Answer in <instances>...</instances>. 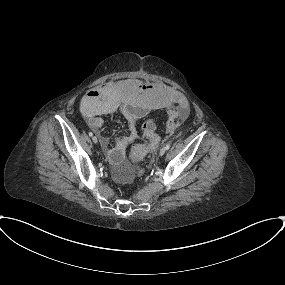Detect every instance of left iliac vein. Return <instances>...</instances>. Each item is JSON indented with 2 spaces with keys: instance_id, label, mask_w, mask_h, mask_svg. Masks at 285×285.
<instances>
[{
  "instance_id": "obj_1",
  "label": "left iliac vein",
  "mask_w": 285,
  "mask_h": 285,
  "mask_svg": "<svg viewBox=\"0 0 285 285\" xmlns=\"http://www.w3.org/2000/svg\"><path fill=\"white\" fill-rule=\"evenodd\" d=\"M166 152V148L165 147H162L159 151V156H163Z\"/></svg>"
}]
</instances>
